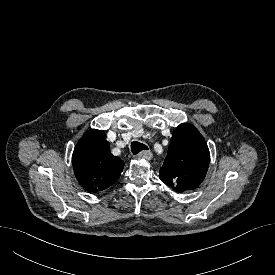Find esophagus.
<instances>
[{"label":"esophagus","mask_w":275,"mask_h":275,"mask_svg":"<svg viewBox=\"0 0 275 275\" xmlns=\"http://www.w3.org/2000/svg\"><path fill=\"white\" fill-rule=\"evenodd\" d=\"M152 156H153V154L150 150H143L138 154L139 158H143V159H146V160H151Z\"/></svg>","instance_id":"34e87169"}]
</instances>
